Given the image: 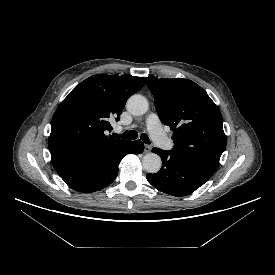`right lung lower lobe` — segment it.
Segmentation results:
<instances>
[{
  "mask_svg": "<svg viewBox=\"0 0 275 275\" xmlns=\"http://www.w3.org/2000/svg\"><path fill=\"white\" fill-rule=\"evenodd\" d=\"M144 144L140 141L129 142L120 151L108 159L88 168L61 176L64 182L73 190L90 193L110 185L118 174L121 159L129 153L140 154Z\"/></svg>",
  "mask_w": 275,
  "mask_h": 275,
  "instance_id": "1",
  "label": "right lung lower lobe"
}]
</instances>
